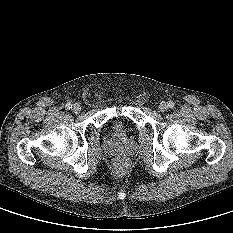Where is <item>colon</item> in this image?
Segmentation results:
<instances>
[{
	"instance_id": "obj_1",
	"label": "colon",
	"mask_w": 233,
	"mask_h": 233,
	"mask_svg": "<svg viewBox=\"0 0 233 233\" xmlns=\"http://www.w3.org/2000/svg\"><path fill=\"white\" fill-rule=\"evenodd\" d=\"M128 160L125 158H118L115 160L114 166L117 170H125L128 167Z\"/></svg>"
}]
</instances>
